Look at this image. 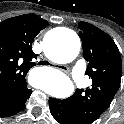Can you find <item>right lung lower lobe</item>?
Returning a JSON list of instances; mask_svg holds the SVG:
<instances>
[{
	"instance_id": "obj_1",
	"label": "right lung lower lobe",
	"mask_w": 124,
	"mask_h": 124,
	"mask_svg": "<svg viewBox=\"0 0 124 124\" xmlns=\"http://www.w3.org/2000/svg\"><path fill=\"white\" fill-rule=\"evenodd\" d=\"M31 93L32 91L29 89L22 95L0 100V117H9L21 111Z\"/></svg>"
}]
</instances>
